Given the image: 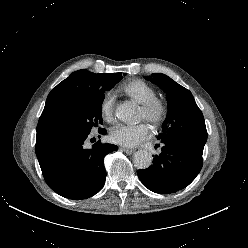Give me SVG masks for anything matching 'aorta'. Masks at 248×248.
<instances>
[{
  "label": "aorta",
  "instance_id": "aorta-1",
  "mask_svg": "<svg viewBox=\"0 0 248 248\" xmlns=\"http://www.w3.org/2000/svg\"><path fill=\"white\" fill-rule=\"evenodd\" d=\"M137 107L131 102H124L117 106L116 117L127 124L134 123L136 120ZM153 157L146 150H138L134 154V164L138 169H147L152 164Z\"/></svg>",
  "mask_w": 248,
  "mask_h": 248
}]
</instances>
